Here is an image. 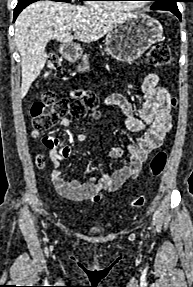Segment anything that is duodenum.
Returning a JSON list of instances; mask_svg holds the SVG:
<instances>
[{"label":"duodenum","instance_id":"duodenum-1","mask_svg":"<svg viewBox=\"0 0 193 287\" xmlns=\"http://www.w3.org/2000/svg\"><path fill=\"white\" fill-rule=\"evenodd\" d=\"M63 55L68 59H75L78 55V50L76 46H65L63 49Z\"/></svg>","mask_w":193,"mask_h":287}]
</instances>
